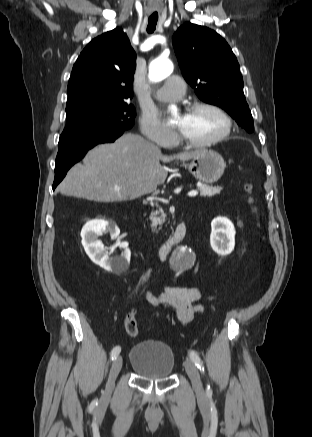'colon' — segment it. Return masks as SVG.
I'll list each match as a JSON object with an SVG mask.
<instances>
[{
    "label": "colon",
    "mask_w": 312,
    "mask_h": 437,
    "mask_svg": "<svg viewBox=\"0 0 312 437\" xmlns=\"http://www.w3.org/2000/svg\"><path fill=\"white\" fill-rule=\"evenodd\" d=\"M245 191L248 195V202L251 204V208L253 211L256 210L255 205L253 204V198L251 196V186L249 184H247L245 186ZM124 326L126 329V332L132 336V337H136L138 335V325H137V320L135 317L134 313H129L125 319H124Z\"/></svg>",
    "instance_id": "obj_1"
}]
</instances>
